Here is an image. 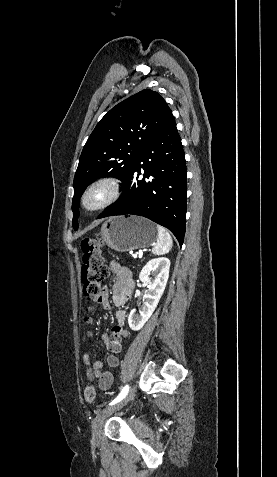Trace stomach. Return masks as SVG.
I'll list each match as a JSON object with an SVG mask.
<instances>
[{
    "label": "stomach",
    "mask_w": 277,
    "mask_h": 477,
    "mask_svg": "<svg viewBox=\"0 0 277 477\" xmlns=\"http://www.w3.org/2000/svg\"><path fill=\"white\" fill-rule=\"evenodd\" d=\"M101 240L118 252L144 249L153 245L158 238L153 222L139 216H115L101 227Z\"/></svg>",
    "instance_id": "0dacf381"
}]
</instances>
